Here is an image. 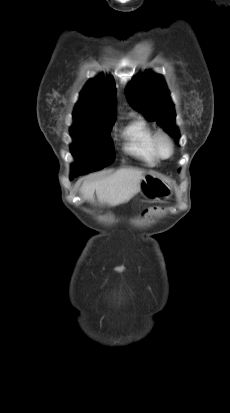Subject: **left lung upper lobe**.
Returning a JSON list of instances; mask_svg holds the SVG:
<instances>
[{"label": "left lung upper lobe", "instance_id": "5c2ea615", "mask_svg": "<svg viewBox=\"0 0 230 413\" xmlns=\"http://www.w3.org/2000/svg\"><path fill=\"white\" fill-rule=\"evenodd\" d=\"M126 97L133 108L145 114L148 120L157 121L178 144L180 134L175 125L174 105L161 75L146 72L136 76L126 89Z\"/></svg>", "mask_w": 230, "mask_h": 413}]
</instances>
